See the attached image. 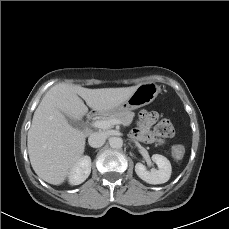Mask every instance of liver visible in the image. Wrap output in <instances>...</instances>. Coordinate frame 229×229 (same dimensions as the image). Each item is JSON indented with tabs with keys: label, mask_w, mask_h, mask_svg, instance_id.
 Returning <instances> with one entry per match:
<instances>
[{
	"label": "liver",
	"mask_w": 229,
	"mask_h": 229,
	"mask_svg": "<svg viewBox=\"0 0 229 229\" xmlns=\"http://www.w3.org/2000/svg\"><path fill=\"white\" fill-rule=\"evenodd\" d=\"M138 86L89 89L59 83L51 87L28 131V154L35 173L50 184H62L82 158L86 143L85 133L71 126L66 117L81 120L88 113L87 106L104 114L125 102Z\"/></svg>",
	"instance_id": "6515ba94"
}]
</instances>
